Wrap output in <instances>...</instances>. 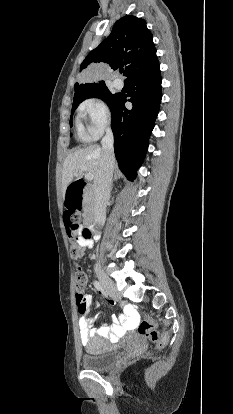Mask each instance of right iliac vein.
Returning a JSON list of instances; mask_svg holds the SVG:
<instances>
[{"mask_svg":"<svg viewBox=\"0 0 233 414\" xmlns=\"http://www.w3.org/2000/svg\"><path fill=\"white\" fill-rule=\"evenodd\" d=\"M97 277L101 284L103 285L105 291L113 298L118 299L119 293L117 291L116 285L114 282L102 271H96Z\"/></svg>","mask_w":233,"mask_h":414,"instance_id":"63e3f726","label":"right iliac vein"}]
</instances>
